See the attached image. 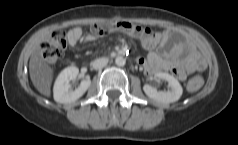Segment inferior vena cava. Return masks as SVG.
Listing matches in <instances>:
<instances>
[{
    "mask_svg": "<svg viewBox=\"0 0 238 145\" xmlns=\"http://www.w3.org/2000/svg\"><path fill=\"white\" fill-rule=\"evenodd\" d=\"M107 63H108V58H105V57L98 58L92 62V67L96 70L102 69L103 67L107 65Z\"/></svg>",
    "mask_w": 238,
    "mask_h": 145,
    "instance_id": "1",
    "label": "inferior vena cava"
}]
</instances>
